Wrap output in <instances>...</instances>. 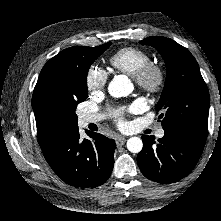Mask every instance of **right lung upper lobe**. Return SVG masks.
<instances>
[{"label":"right lung upper lobe","instance_id":"obj_1","mask_svg":"<svg viewBox=\"0 0 221 221\" xmlns=\"http://www.w3.org/2000/svg\"><path fill=\"white\" fill-rule=\"evenodd\" d=\"M87 48H67L51 58L41 70L32 95L40 147L59 133L73 127L72 115L55 96L54 88L65 81L69 65L79 59Z\"/></svg>","mask_w":221,"mask_h":221}]
</instances>
